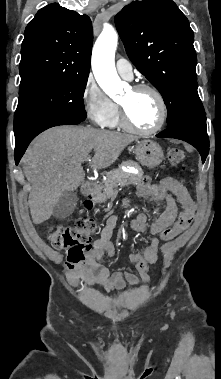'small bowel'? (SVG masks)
<instances>
[{
    "instance_id": "c3829d8e",
    "label": "small bowel",
    "mask_w": 221,
    "mask_h": 379,
    "mask_svg": "<svg viewBox=\"0 0 221 379\" xmlns=\"http://www.w3.org/2000/svg\"><path fill=\"white\" fill-rule=\"evenodd\" d=\"M136 194L139 197H149L166 202L165 210L152 225H148L147 217L143 213L138 214L131 222V228L134 231H148L151 236L149 243L141 253H133L129 257L137 269L142 283H147L149 266L156 263L158 258L160 245L158 235L172 225L179 208L184 209L192 205L193 202L186 187L172 177H164L156 184H151L145 178L137 184ZM129 203L130 200L125 199L124 207H127ZM118 220L117 215H112L107 219L100 236L94 241L87 267L77 274L68 276L71 285H77L81 280L87 286L92 287L95 284H100L106 291L112 292L123 291L140 283L135 274L127 271L111 272L108 266L101 263L103 257H113L115 254L111 237Z\"/></svg>"
}]
</instances>
